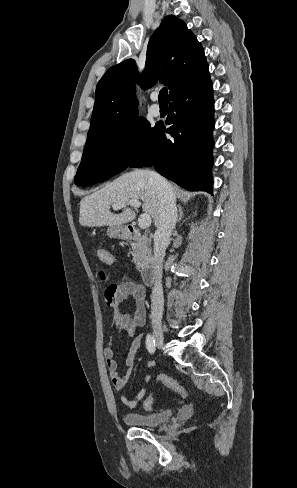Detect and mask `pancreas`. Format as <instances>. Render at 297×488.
Instances as JSON below:
<instances>
[{"mask_svg":"<svg viewBox=\"0 0 297 488\" xmlns=\"http://www.w3.org/2000/svg\"><path fill=\"white\" fill-rule=\"evenodd\" d=\"M132 256L137 269L143 268L151 259L150 241L146 236L135 237Z\"/></svg>","mask_w":297,"mask_h":488,"instance_id":"1","label":"pancreas"}]
</instances>
